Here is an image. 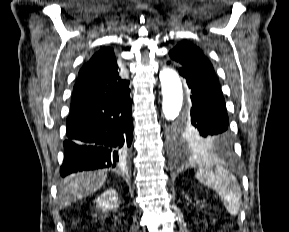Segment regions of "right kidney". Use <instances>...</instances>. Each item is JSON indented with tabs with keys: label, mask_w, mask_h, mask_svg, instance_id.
I'll return each mask as SVG.
<instances>
[{
	"label": "right kidney",
	"mask_w": 289,
	"mask_h": 232,
	"mask_svg": "<svg viewBox=\"0 0 289 232\" xmlns=\"http://www.w3.org/2000/svg\"><path fill=\"white\" fill-rule=\"evenodd\" d=\"M97 206L104 212L118 207V195L116 190L108 189L103 192L96 200Z\"/></svg>",
	"instance_id": "right-kidney-1"
}]
</instances>
